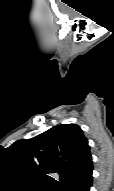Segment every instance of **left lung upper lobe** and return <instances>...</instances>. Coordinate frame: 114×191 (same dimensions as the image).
Instances as JSON below:
<instances>
[{
	"mask_svg": "<svg viewBox=\"0 0 114 191\" xmlns=\"http://www.w3.org/2000/svg\"><path fill=\"white\" fill-rule=\"evenodd\" d=\"M9 153L20 165L46 177L61 188L91 157L87 138L76 124H62L31 139L14 142ZM59 175V181L48 177Z\"/></svg>",
	"mask_w": 114,
	"mask_h": 191,
	"instance_id": "obj_1",
	"label": "left lung upper lobe"
}]
</instances>
